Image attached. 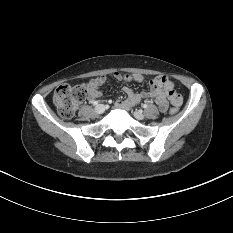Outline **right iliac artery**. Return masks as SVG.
<instances>
[{
    "mask_svg": "<svg viewBox=\"0 0 233 233\" xmlns=\"http://www.w3.org/2000/svg\"><path fill=\"white\" fill-rule=\"evenodd\" d=\"M97 104H98V101H94V102H93V105H97Z\"/></svg>",
    "mask_w": 233,
    "mask_h": 233,
    "instance_id": "right-iliac-artery-1",
    "label": "right iliac artery"
}]
</instances>
